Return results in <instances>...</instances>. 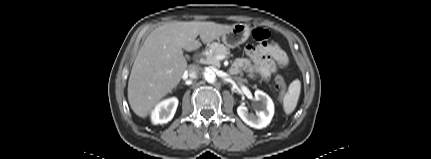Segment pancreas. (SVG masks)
<instances>
[{"instance_id":"pancreas-1","label":"pancreas","mask_w":431,"mask_h":159,"mask_svg":"<svg viewBox=\"0 0 431 159\" xmlns=\"http://www.w3.org/2000/svg\"><path fill=\"white\" fill-rule=\"evenodd\" d=\"M230 50L228 47L219 44V43H212L209 47V50L204 53L205 58L203 59V62L208 65L213 66H219L220 62L218 59H216L217 55H229ZM248 77L255 78V74L253 73V70H250L248 73Z\"/></svg>"}]
</instances>
